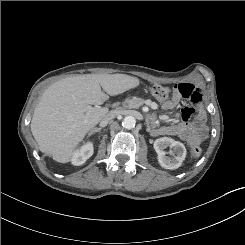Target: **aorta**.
<instances>
[{"mask_svg": "<svg viewBox=\"0 0 245 245\" xmlns=\"http://www.w3.org/2000/svg\"><path fill=\"white\" fill-rule=\"evenodd\" d=\"M135 124H136V119L131 115L126 116L122 121V126L126 129H132L135 126Z\"/></svg>", "mask_w": 245, "mask_h": 245, "instance_id": "obj_1", "label": "aorta"}]
</instances>
